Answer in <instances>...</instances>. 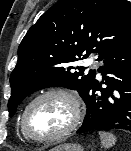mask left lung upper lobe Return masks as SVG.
Segmentation results:
<instances>
[{
  "mask_svg": "<svg viewBox=\"0 0 131 151\" xmlns=\"http://www.w3.org/2000/svg\"><path fill=\"white\" fill-rule=\"evenodd\" d=\"M131 41L126 0H59L28 30L10 76V116L29 94L50 86L77 90L85 99L95 70L75 62L98 53V61Z\"/></svg>",
  "mask_w": 131,
  "mask_h": 151,
  "instance_id": "obj_1",
  "label": "left lung upper lobe"
}]
</instances>
